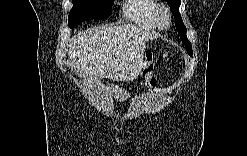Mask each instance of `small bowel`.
<instances>
[{"label":"small bowel","instance_id":"obj_1","mask_svg":"<svg viewBox=\"0 0 247 156\" xmlns=\"http://www.w3.org/2000/svg\"><path fill=\"white\" fill-rule=\"evenodd\" d=\"M143 74L146 79V84L148 87H153L155 85V78H154V65L152 61H149L143 71Z\"/></svg>","mask_w":247,"mask_h":156}]
</instances>
